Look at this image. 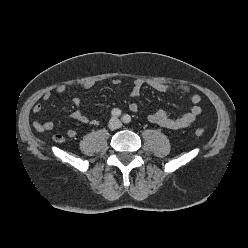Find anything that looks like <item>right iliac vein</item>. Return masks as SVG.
<instances>
[{
  "label": "right iliac vein",
  "instance_id": "1",
  "mask_svg": "<svg viewBox=\"0 0 248 248\" xmlns=\"http://www.w3.org/2000/svg\"><path fill=\"white\" fill-rule=\"evenodd\" d=\"M113 124H114V123H113V122H111V123H110V127H113Z\"/></svg>",
  "mask_w": 248,
  "mask_h": 248
}]
</instances>
